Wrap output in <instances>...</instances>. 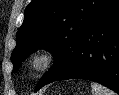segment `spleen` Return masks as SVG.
Listing matches in <instances>:
<instances>
[{"instance_id":"3e777b00","label":"spleen","mask_w":119,"mask_h":95,"mask_svg":"<svg viewBox=\"0 0 119 95\" xmlns=\"http://www.w3.org/2000/svg\"><path fill=\"white\" fill-rule=\"evenodd\" d=\"M91 88L93 95H116V93L109 88L102 86L96 82L91 83Z\"/></svg>"}]
</instances>
